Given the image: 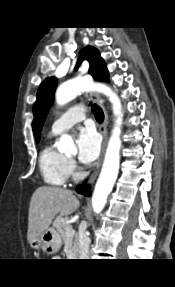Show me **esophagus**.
<instances>
[{
    "label": "esophagus",
    "instance_id": "1",
    "mask_svg": "<svg viewBox=\"0 0 175 287\" xmlns=\"http://www.w3.org/2000/svg\"><path fill=\"white\" fill-rule=\"evenodd\" d=\"M91 99L101 106V108L103 110V113H104V120H103V123L101 124V126L99 128V130H100V132H101V134L103 136L101 156H100V159L98 160V162L96 164L95 170L93 171V173L91 174V176H90V178L88 180V184H90V185H92L95 182V180L97 179V176H98L99 171H100V167L102 165V161H103V157H104V153H105V149H106V145H107V141H108L107 127H108V122H109L108 113L106 111L105 106L100 101L99 94L91 93Z\"/></svg>",
    "mask_w": 175,
    "mask_h": 287
}]
</instances>
